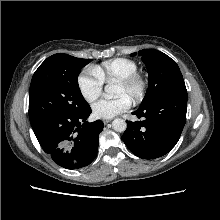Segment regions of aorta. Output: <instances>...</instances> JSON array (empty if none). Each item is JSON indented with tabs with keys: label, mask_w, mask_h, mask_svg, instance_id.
<instances>
[{
	"label": "aorta",
	"mask_w": 220,
	"mask_h": 220,
	"mask_svg": "<svg viewBox=\"0 0 220 220\" xmlns=\"http://www.w3.org/2000/svg\"><path fill=\"white\" fill-rule=\"evenodd\" d=\"M114 89L115 87L112 85H106L105 86V98L106 99H111L114 96ZM112 128L116 131V132H124L127 128V123L125 120L123 119H114L112 122Z\"/></svg>",
	"instance_id": "aorta-1"
}]
</instances>
